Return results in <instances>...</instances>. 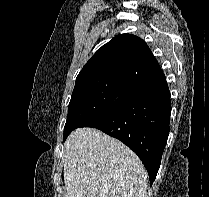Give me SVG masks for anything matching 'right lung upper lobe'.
<instances>
[{
    "instance_id": "1",
    "label": "right lung upper lobe",
    "mask_w": 209,
    "mask_h": 197,
    "mask_svg": "<svg viewBox=\"0 0 209 197\" xmlns=\"http://www.w3.org/2000/svg\"><path fill=\"white\" fill-rule=\"evenodd\" d=\"M165 79L148 45L132 34H119L103 45L84 65L76 82L109 80L136 90Z\"/></svg>"
}]
</instances>
